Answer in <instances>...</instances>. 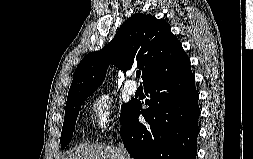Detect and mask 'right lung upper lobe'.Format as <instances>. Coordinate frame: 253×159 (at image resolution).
I'll use <instances>...</instances> for the list:
<instances>
[{
  "label": "right lung upper lobe",
  "instance_id": "right-lung-upper-lobe-1",
  "mask_svg": "<svg viewBox=\"0 0 253 159\" xmlns=\"http://www.w3.org/2000/svg\"><path fill=\"white\" fill-rule=\"evenodd\" d=\"M110 64L123 71L136 64L142 70L145 85L177 73L190 61L163 19L137 13L120 26L113 40L102 50L82 59L74 72L67 102L90 96L102 84Z\"/></svg>",
  "mask_w": 253,
  "mask_h": 159
}]
</instances>
